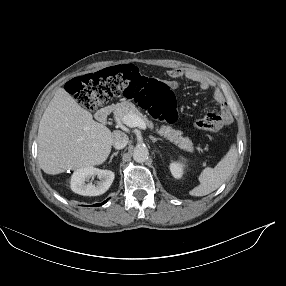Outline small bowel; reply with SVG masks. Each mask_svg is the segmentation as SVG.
<instances>
[{"label":"small bowel","instance_id":"1","mask_svg":"<svg viewBox=\"0 0 286 286\" xmlns=\"http://www.w3.org/2000/svg\"><path fill=\"white\" fill-rule=\"evenodd\" d=\"M169 85L177 87V81L185 78L195 82L203 90L214 89L213 100L218 107V115L222 122H229L231 119L230 110L222 93L214 88L213 83L204 75L189 69L173 68L167 72Z\"/></svg>","mask_w":286,"mask_h":286}]
</instances>
